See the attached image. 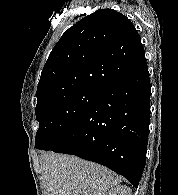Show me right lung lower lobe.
<instances>
[{
  "label": "right lung lower lobe",
  "mask_w": 178,
  "mask_h": 195,
  "mask_svg": "<svg viewBox=\"0 0 178 195\" xmlns=\"http://www.w3.org/2000/svg\"><path fill=\"white\" fill-rule=\"evenodd\" d=\"M150 88L147 65L107 84L52 151L102 164L137 188L146 160Z\"/></svg>",
  "instance_id": "98d812e1"
}]
</instances>
